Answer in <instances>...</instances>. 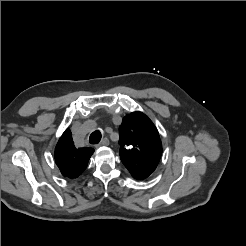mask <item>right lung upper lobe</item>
I'll use <instances>...</instances> for the list:
<instances>
[{"mask_svg": "<svg viewBox=\"0 0 246 246\" xmlns=\"http://www.w3.org/2000/svg\"><path fill=\"white\" fill-rule=\"evenodd\" d=\"M92 148H76L69 129L60 137L55 148V162L63 176L74 179L87 167L88 161L93 154Z\"/></svg>", "mask_w": 246, "mask_h": 246, "instance_id": "1", "label": "right lung upper lobe"}]
</instances>
